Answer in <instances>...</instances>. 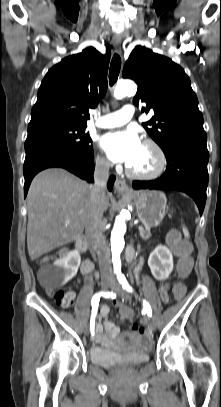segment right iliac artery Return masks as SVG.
Listing matches in <instances>:
<instances>
[{
    "mask_svg": "<svg viewBox=\"0 0 221 407\" xmlns=\"http://www.w3.org/2000/svg\"><path fill=\"white\" fill-rule=\"evenodd\" d=\"M104 296V297H115L116 295L113 293H109V292H99L96 293L92 300H91V305H92V314H91V318H90V332L91 335H94V330H95V317L97 315V311H98V304H99V300L100 297Z\"/></svg>",
    "mask_w": 221,
    "mask_h": 407,
    "instance_id": "obj_1",
    "label": "right iliac artery"
}]
</instances>
